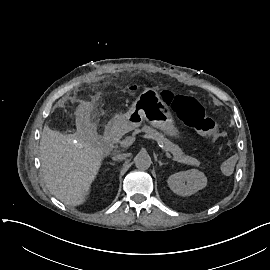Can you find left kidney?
Segmentation results:
<instances>
[{
	"label": "left kidney",
	"instance_id": "left-kidney-1",
	"mask_svg": "<svg viewBox=\"0 0 270 270\" xmlns=\"http://www.w3.org/2000/svg\"><path fill=\"white\" fill-rule=\"evenodd\" d=\"M207 178L198 170H187L169 177L168 185L172 191L181 196H190L204 188Z\"/></svg>",
	"mask_w": 270,
	"mask_h": 270
}]
</instances>
